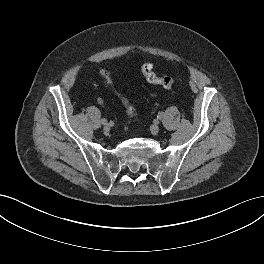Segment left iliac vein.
Returning <instances> with one entry per match:
<instances>
[{
	"label": "left iliac vein",
	"instance_id": "left-iliac-vein-1",
	"mask_svg": "<svg viewBox=\"0 0 264 264\" xmlns=\"http://www.w3.org/2000/svg\"><path fill=\"white\" fill-rule=\"evenodd\" d=\"M159 126L157 124H154L150 127V131L153 135H157L159 133Z\"/></svg>",
	"mask_w": 264,
	"mask_h": 264
}]
</instances>
